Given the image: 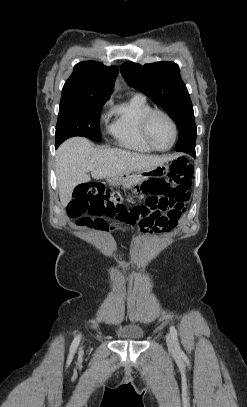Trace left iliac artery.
Masks as SVG:
<instances>
[{
	"label": "left iliac artery",
	"mask_w": 247,
	"mask_h": 407,
	"mask_svg": "<svg viewBox=\"0 0 247 407\" xmlns=\"http://www.w3.org/2000/svg\"><path fill=\"white\" fill-rule=\"evenodd\" d=\"M170 333H171V336H172V338L174 340L175 347H176L177 351H181L179 343H178L177 331H176V328L174 326H170Z\"/></svg>",
	"instance_id": "obj_1"
}]
</instances>
